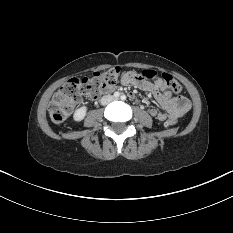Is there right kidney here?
<instances>
[{
    "mask_svg": "<svg viewBox=\"0 0 233 233\" xmlns=\"http://www.w3.org/2000/svg\"><path fill=\"white\" fill-rule=\"evenodd\" d=\"M86 112H87L86 106H82V107L76 109L74 114H73L74 121L79 122V121L83 120L86 116Z\"/></svg>",
    "mask_w": 233,
    "mask_h": 233,
    "instance_id": "right-kidney-1",
    "label": "right kidney"
}]
</instances>
